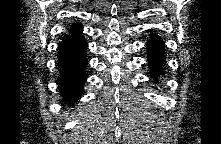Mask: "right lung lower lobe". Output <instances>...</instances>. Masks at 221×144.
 <instances>
[{
	"label": "right lung lower lobe",
	"instance_id": "1",
	"mask_svg": "<svg viewBox=\"0 0 221 144\" xmlns=\"http://www.w3.org/2000/svg\"><path fill=\"white\" fill-rule=\"evenodd\" d=\"M87 43L82 37L81 25H75L59 43L60 77L57 80L62 100L73 103L82 95L87 80L85 51Z\"/></svg>",
	"mask_w": 221,
	"mask_h": 144
}]
</instances>
